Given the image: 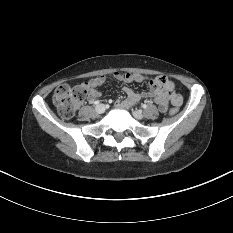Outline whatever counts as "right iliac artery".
Segmentation results:
<instances>
[{
    "instance_id": "right-iliac-artery-1",
    "label": "right iliac artery",
    "mask_w": 233,
    "mask_h": 233,
    "mask_svg": "<svg viewBox=\"0 0 233 233\" xmlns=\"http://www.w3.org/2000/svg\"><path fill=\"white\" fill-rule=\"evenodd\" d=\"M99 103H100V101H98V100L94 102L95 105H98Z\"/></svg>"
}]
</instances>
